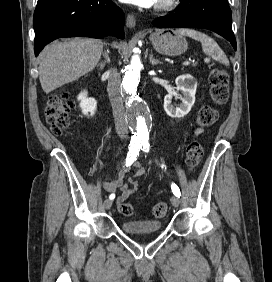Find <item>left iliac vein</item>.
Here are the masks:
<instances>
[{
	"mask_svg": "<svg viewBox=\"0 0 272 282\" xmlns=\"http://www.w3.org/2000/svg\"><path fill=\"white\" fill-rule=\"evenodd\" d=\"M171 203L174 207H178L180 204V200L177 196H172L171 197Z\"/></svg>",
	"mask_w": 272,
	"mask_h": 282,
	"instance_id": "obj_1",
	"label": "left iliac vein"
}]
</instances>
